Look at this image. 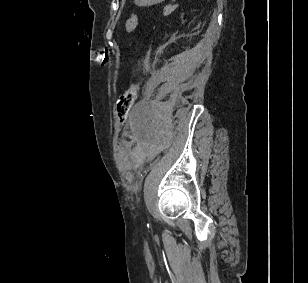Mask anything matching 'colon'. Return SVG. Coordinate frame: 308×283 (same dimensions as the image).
<instances>
[{
    "label": "colon",
    "instance_id": "obj_1",
    "mask_svg": "<svg viewBox=\"0 0 308 283\" xmlns=\"http://www.w3.org/2000/svg\"><path fill=\"white\" fill-rule=\"evenodd\" d=\"M138 20L139 18L136 14L131 15L127 19L125 24V30L127 33H131L136 28ZM138 91V85L133 84L126 91L120 94L116 103V115L120 123L125 121L131 107L137 99Z\"/></svg>",
    "mask_w": 308,
    "mask_h": 283
}]
</instances>
